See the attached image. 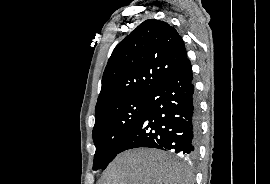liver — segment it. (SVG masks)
Segmentation results:
<instances>
[{
	"label": "liver",
	"instance_id": "obj_1",
	"mask_svg": "<svg viewBox=\"0 0 270 184\" xmlns=\"http://www.w3.org/2000/svg\"><path fill=\"white\" fill-rule=\"evenodd\" d=\"M99 184H191V172L164 152L140 148L118 155Z\"/></svg>",
	"mask_w": 270,
	"mask_h": 184
}]
</instances>
